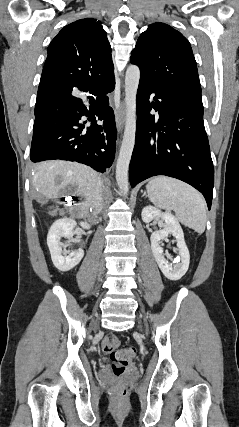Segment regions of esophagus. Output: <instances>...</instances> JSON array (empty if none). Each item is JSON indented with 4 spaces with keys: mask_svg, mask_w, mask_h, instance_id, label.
I'll return each mask as SVG.
<instances>
[{
    "mask_svg": "<svg viewBox=\"0 0 239 427\" xmlns=\"http://www.w3.org/2000/svg\"><path fill=\"white\" fill-rule=\"evenodd\" d=\"M115 117H116V126L118 131H121L124 125V119H125V104L124 102H121L120 107L117 111H115Z\"/></svg>",
    "mask_w": 239,
    "mask_h": 427,
    "instance_id": "obj_1",
    "label": "esophagus"
}]
</instances>
